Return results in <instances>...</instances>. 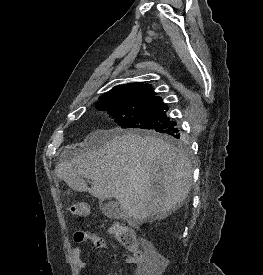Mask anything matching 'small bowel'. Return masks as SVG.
<instances>
[{"mask_svg":"<svg viewBox=\"0 0 263 275\" xmlns=\"http://www.w3.org/2000/svg\"><path fill=\"white\" fill-rule=\"evenodd\" d=\"M73 240L77 244H80L83 242H90L95 248H98V249H103L106 247V240L103 237L87 231H83V230L76 231L74 233ZM81 254H82V249L80 246L77 245L72 249V258H73L74 264L80 270L84 271L87 269V263L82 260ZM127 263L130 265L136 266V272L134 273V275H141V268L137 264L134 257L129 256L127 258Z\"/></svg>","mask_w":263,"mask_h":275,"instance_id":"small-bowel-1","label":"small bowel"}]
</instances>
